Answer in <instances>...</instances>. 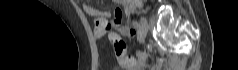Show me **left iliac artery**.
Instances as JSON below:
<instances>
[{
  "mask_svg": "<svg viewBox=\"0 0 238 70\" xmlns=\"http://www.w3.org/2000/svg\"><path fill=\"white\" fill-rule=\"evenodd\" d=\"M133 26H134V28H138L139 27V23L137 21H134L133 22Z\"/></svg>",
  "mask_w": 238,
  "mask_h": 70,
  "instance_id": "1",
  "label": "left iliac artery"
}]
</instances>
